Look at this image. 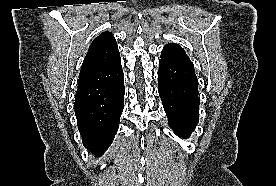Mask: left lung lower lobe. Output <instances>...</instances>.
<instances>
[{"mask_svg":"<svg viewBox=\"0 0 276 186\" xmlns=\"http://www.w3.org/2000/svg\"><path fill=\"white\" fill-rule=\"evenodd\" d=\"M158 91L169 125L182 138H188L199 120L198 80L194 67L159 61Z\"/></svg>","mask_w":276,"mask_h":186,"instance_id":"1","label":"left lung lower lobe"}]
</instances>
